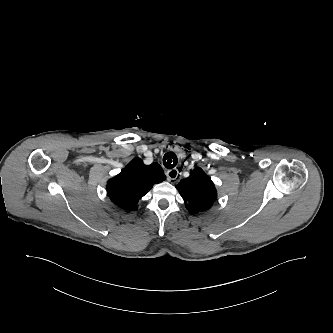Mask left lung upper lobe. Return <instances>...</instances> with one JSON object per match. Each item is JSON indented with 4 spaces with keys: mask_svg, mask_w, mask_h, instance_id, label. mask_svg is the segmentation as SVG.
Returning a JSON list of instances; mask_svg holds the SVG:
<instances>
[{
    "mask_svg": "<svg viewBox=\"0 0 333 333\" xmlns=\"http://www.w3.org/2000/svg\"><path fill=\"white\" fill-rule=\"evenodd\" d=\"M186 209L192 214L209 209L217 199L214 183L201 168L191 171L190 176L176 186Z\"/></svg>",
    "mask_w": 333,
    "mask_h": 333,
    "instance_id": "obj_1",
    "label": "left lung upper lobe"
}]
</instances>
